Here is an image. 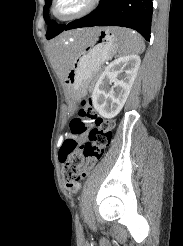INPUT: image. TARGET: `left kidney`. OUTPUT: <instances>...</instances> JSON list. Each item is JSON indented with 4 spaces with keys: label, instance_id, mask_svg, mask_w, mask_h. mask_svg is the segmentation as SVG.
Returning a JSON list of instances; mask_svg holds the SVG:
<instances>
[{
    "label": "left kidney",
    "instance_id": "5707ae66",
    "mask_svg": "<svg viewBox=\"0 0 183 246\" xmlns=\"http://www.w3.org/2000/svg\"><path fill=\"white\" fill-rule=\"evenodd\" d=\"M140 63V57L133 54L119 57L105 68L92 94L93 106L102 117L114 118L122 110Z\"/></svg>",
    "mask_w": 183,
    "mask_h": 246
}]
</instances>
